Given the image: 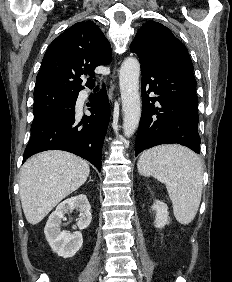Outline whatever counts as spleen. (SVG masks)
Segmentation results:
<instances>
[{
    "label": "spleen",
    "instance_id": "1",
    "mask_svg": "<svg viewBox=\"0 0 232 282\" xmlns=\"http://www.w3.org/2000/svg\"><path fill=\"white\" fill-rule=\"evenodd\" d=\"M137 167L140 174L166 185L178 222L188 224L194 219L203 184L202 163L196 154L178 145L158 146L143 152Z\"/></svg>",
    "mask_w": 232,
    "mask_h": 282
}]
</instances>
